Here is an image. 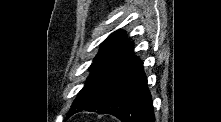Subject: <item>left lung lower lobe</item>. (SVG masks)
<instances>
[{"instance_id": "left-lung-lower-lobe-1", "label": "left lung lower lobe", "mask_w": 221, "mask_h": 122, "mask_svg": "<svg viewBox=\"0 0 221 122\" xmlns=\"http://www.w3.org/2000/svg\"><path fill=\"white\" fill-rule=\"evenodd\" d=\"M129 43L123 56L92 97L71 115L86 110L112 114L124 122H154V112L142 62Z\"/></svg>"}]
</instances>
